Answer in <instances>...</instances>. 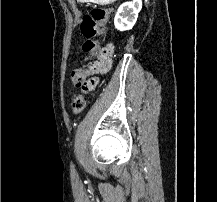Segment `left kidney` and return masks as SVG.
<instances>
[{"label": "left kidney", "mask_w": 217, "mask_h": 202, "mask_svg": "<svg viewBox=\"0 0 217 202\" xmlns=\"http://www.w3.org/2000/svg\"><path fill=\"white\" fill-rule=\"evenodd\" d=\"M141 8V0H133V2H125V4H121L114 18V26L116 30H120V32L132 30L134 24H136Z\"/></svg>", "instance_id": "obj_1"}]
</instances>
